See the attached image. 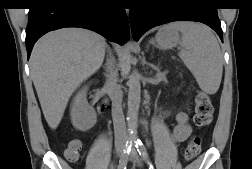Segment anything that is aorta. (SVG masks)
I'll return each mask as SVG.
<instances>
[{
  "label": "aorta",
  "instance_id": "1",
  "mask_svg": "<svg viewBox=\"0 0 252 169\" xmlns=\"http://www.w3.org/2000/svg\"><path fill=\"white\" fill-rule=\"evenodd\" d=\"M125 58L130 60L128 51H125ZM126 70L129 65L126 64ZM128 102H127V131L128 139L134 141L137 139L138 130V114L141 102V83L140 76L137 72L132 73L128 80Z\"/></svg>",
  "mask_w": 252,
  "mask_h": 169
}]
</instances>
